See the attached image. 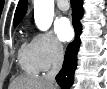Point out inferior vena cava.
<instances>
[{"mask_svg":"<svg viewBox=\"0 0 107 89\" xmlns=\"http://www.w3.org/2000/svg\"><path fill=\"white\" fill-rule=\"evenodd\" d=\"M64 59L63 46L59 43L55 44L54 58L51 70L47 72L45 78L52 84L55 82V77L60 71Z\"/></svg>","mask_w":107,"mask_h":89,"instance_id":"inferior-vena-cava-1","label":"inferior vena cava"}]
</instances>
